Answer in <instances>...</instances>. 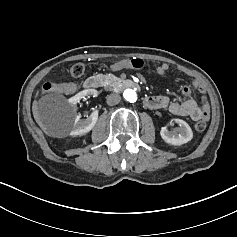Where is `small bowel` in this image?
I'll return each mask as SVG.
<instances>
[{"mask_svg": "<svg viewBox=\"0 0 237 237\" xmlns=\"http://www.w3.org/2000/svg\"><path fill=\"white\" fill-rule=\"evenodd\" d=\"M130 67L129 60L120 61L112 66L113 69H121ZM169 70L168 64L164 63L157 67L159 75H165ZM77 90V84L72 82H64L60 84H52L51 91L65 94H73ZM193 90L200 93V104H198L191 94ZM182 94L186 99L182 102L172 101L164 95L149 96L144 99V105L149 109H168L170 113L179 116H188L194 121L208 119L210 106L207 99L205 89L198 83L196 79H192L189 84L182 88Z\"/></svg>", "mask_w": 237, "mask_h": 237, "instance_id": "small-bowel-1", "label": "small bowel"}]
</instances>
